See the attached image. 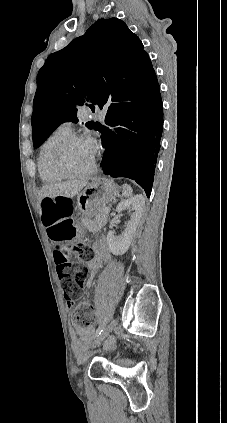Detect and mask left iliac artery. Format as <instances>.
Returning <instances> with one entry per match:
<instances>
[{
  "label": "left iliac artery",
  "instance_id": "obj_1",
  "mask_svg": "<svg viewBox=\"0 0 227 423\" xmlns=\"http://www.w3.org/2000/svg\"><path fill=\"white\" fill-rule=\"evenodd\" d=\"M107 324V318L104 319V321L99 325L98 329L96 330L95 335L93 336V339L95 340L99 335L102 333L103 329L105 328Z\"/></svg>",
  "mask_w": 227,
  "mask_h": 423
}]
</instances>
